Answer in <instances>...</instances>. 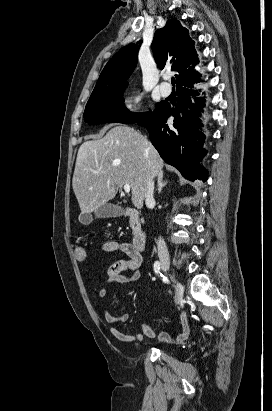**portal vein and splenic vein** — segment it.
Segmentation results:
<instances>
[{
	"label": "portal vein and splenic vein",
	"mask_w": 272,
	"mask_h": 411,
	"mask_svg": "<svg viewBox=\"0 0 272 411\" xmlns=\"http://www.w3.org/2000/svg\"><path fill=\"white\" fill-rule=\"evenodd\" d=\"M123 188H124V191H125L126 193H129V192H130V185L124 184Z\"/></svg>",
	"instance_id": "1"
}]
</instances>
